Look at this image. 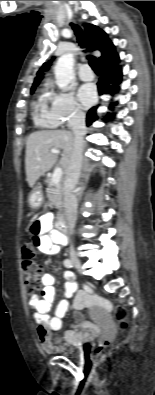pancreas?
<instances>
[{
    "mask_svg": "<svg viewBox=\"0 0 155 395\" xmlns=\"http://www.w3.org/2000/svg\"><path fill=\"white\" fill-rule=\"evenodd\" d=\"M48 187L46 189L47 197L51 201V205L56 208L62 207V198H63V186L61 183L54 184L52 182V177L47 178Z\"/></svg>",
    "mask_w": 155,
    "mask_h": 395,
    "instance_id": "cf45deb5",
    "label": "pancreas"
}]
</instances>
